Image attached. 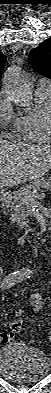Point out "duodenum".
Listing matches in <instances>:
<instances>
[{
	"instance_id": "duodenum-1",
	"label": "duodenum",
	"mask_w": 51,
	"mask_h": 393,
	"mask_svg": "<svg viewBox=\"0 0 51 393\" xmlns=\"http://www.w3.org/2000/svg\"><path fill=\"white\" fill-rule=\"evenodd\" d=\"M8 198H9V196L6 192H1V194H0L1 201L6 202L8 200Z\"/></svg>"
}]
</instances>
